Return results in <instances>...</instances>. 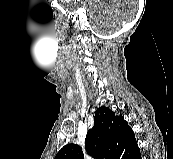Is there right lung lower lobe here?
<instances>
[{
  "mask_svg": "<svg viewBox=\"0 0 173 159\" xmlns=\"http://www.w3.org/2000/svg\"><path fill=\"white\" fill-rule=\"evenodd\" d=\"M126 159H141L140 150L139 149L136 150L135 152L130 154L128 157H126Z\"/></svg>",
  "mask_w": 173,
  "mask_h": 159,
  "instance_id": "98d812e1",
  "label": "right lung lower lobe"
}]
</instances>
